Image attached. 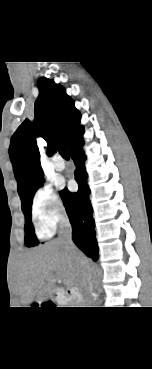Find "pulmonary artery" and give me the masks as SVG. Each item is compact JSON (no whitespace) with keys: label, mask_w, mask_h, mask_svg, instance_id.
Segmentation results:
<instances>
[{"label":"pulmonary artery","mask_w":152,"mask_h":369,"mask_svg":"<svg viewBox=\"0 0 152 369\" xmlns=\"http://www.w3.org/2000/svg\"><path fill=\"white\" fill-rule=\"evenodd\" d=\"M53 167L56 171H63L65 169V162L60 156L53 158Z\"/></svg>","instance_id":"pulmonary-artery-1"}]
</instances>
